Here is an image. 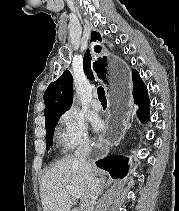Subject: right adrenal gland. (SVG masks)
Masks as SVG:
<instances>
[{"instance_id": "obj_1", "label": "right adrenal gland", "mask_w": 179, "mask_h": 211, "mask_svg": "<svg viewBox=\"0 0 179 211\" xmlns=\"http://www.w3.org/2000/svg\"><path fill=\"white\" fill-rule=\"evenodd\" d=\"M97 181H98L99 189L100 191H102L105 187V178L97 179Z\"/></svg>"}]
</instances>
